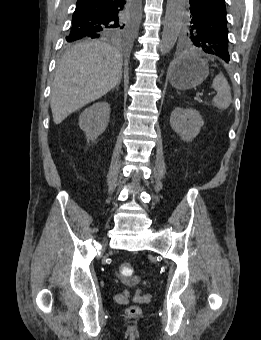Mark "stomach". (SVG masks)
Segmentation results:
<instances>
[{
    "label": "stomach",
    "mask_w": 261,
    "mask_h": 340,
    "mask_svg": "<svg viewBox=\"0 0 261 340\" xmlns=\"http://www.w3.org/2000/svg\"><path fill=\"white\" fill-rule=\"evenodd\" d=\"M208 75L206 60L195 54L179 57L169 68L170 83L179 90H188L200 85Z\"/></svg>",
    "instance_id": "0dacf381"
}]
</instances>
